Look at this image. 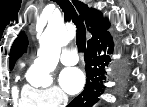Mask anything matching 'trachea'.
Listing matches in <instances>:
<instances>
[{"instance_id": "3493384b", "label": "trachea", "mask_w": 147, "mask_h": 107, "mask_svg": "<svg viewBox=\"0 0 147 107\" xmlns=\"http://www.w3.org/2000/svg\"><path fill=\"white\" fill-rule=\"evenodd\" d=\"M62 9L64 16L76 26V44L79 51H84L86 48V28L83 19L78 17V14L69 0L55 1Z\"/></svg>"}]
</instances>
